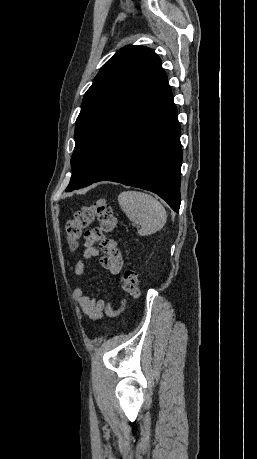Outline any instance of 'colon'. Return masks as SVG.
I'll use <instances>...</instances> for the list:
<instances>
[{
  "instance_id": "colon-1",
  "label": "colon",
  "mask_w": 257,
  "mask_h": 459,
  "mask_svg": "<svg viewBox=\"0 0 257 459\" xmlns=\"http://www.w3.org/2000/svg\"><path fill=\"white\" fill-rule=\"evenodd\" d=\"M94 220H98L105 233L112 232L116 227V218L110 203L106 199H98L92 205L77 210L73 218L66 223V239L71 249H76L82 231ZM123 291L131 296L140 294L139 278L134 271L127 270L121 277Z\"/></svg>"
}]
</instances>
